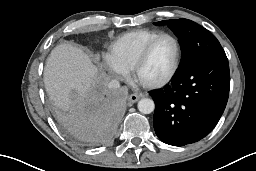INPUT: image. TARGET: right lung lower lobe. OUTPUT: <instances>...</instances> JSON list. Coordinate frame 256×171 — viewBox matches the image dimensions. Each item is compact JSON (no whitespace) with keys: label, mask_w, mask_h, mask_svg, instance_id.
I'll return each instance as SVG.
<instances>
[{"label":"right lung lower lobe","mask_w":256,"mask_h":171,"mask_svg":"<svg viewBox=\"0 0 256 171\" xmlns=\"http://www.w3.org/2000/svg\"><path fill=\"white\" fill-rule=\"evenodd\" d=\"M124 90H104L63 117L62 125L75 138L91 145L108 142L125 108Z\"/></svg>","instance_id":"98d812e1"}]
</instances>
